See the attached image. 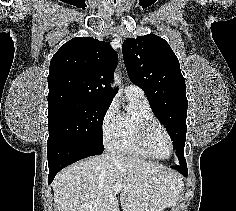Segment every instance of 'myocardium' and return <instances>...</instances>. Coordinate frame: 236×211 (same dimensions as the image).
<instances>
[{
  "mask_svg": "<svg viewBox=\"0 0 236 211\" xmlns=\"http://www.w3.org/2000/svg\"><path fill=\"white\" fill-rule=\"evenodd\" d=\"M155 129H161L168 138L170 144V151L166 156L156 155L153 152H151L147 147V138L149 134ZM133 141L141 152L154 159H159V160L168 159L172 155L174 150V142L171 134L169 133L167 128L159 122H146L143 124H139L133 133Z\"/></svg>",
  "mask_w": 236,
  "mask_h": 211,
  "instance_id": "obj_1",
  "label": "myocardium"
}]
</instances>
